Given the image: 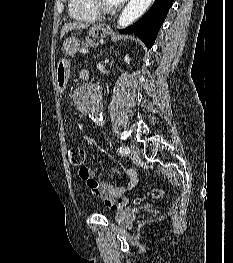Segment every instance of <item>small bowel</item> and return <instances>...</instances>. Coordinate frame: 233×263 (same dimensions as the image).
I'll list each match as a JSON object with an SVG mask.
<instances>
[{
	"label": "small bowel",
	"mask_w": 233,
	"mask_h": 263,
	"mask_svg": "<svg viewBox=\"0 0 233 263\" xmlns=\"http://www.w3.org/2000/svg\"><path fill=\"white\" fill-rule=\"evenodd\" d=\"M88 170V176L84 177L79 172L80 177L86 181L88 188L91 194L95 197H99L104 200V203L108 210H119L122 209L127 205V202L122 199L123 194L133 188L137 181V173L132 170L128 169L125 171L126 176L129 178V182L126 188L124 187H117L109 183L102 182L96 176L95 170L92 168L86 167Z\"/></svg>",
	"instance_id": "obj_1"
}]
</instances>
